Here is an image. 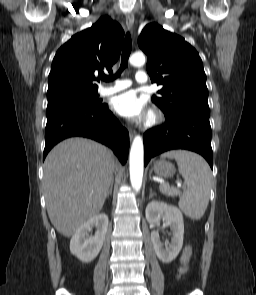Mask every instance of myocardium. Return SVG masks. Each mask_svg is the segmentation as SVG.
<instances>
[{"label":"myocardium","mask_w":256,"mask_h":295,"mask_svg":"<svg viewBox=\"0 0 256 295\" xmlns=\"http://www.w3.org/2000/svg\"><path fill=\"white\" fill-rule=\"evenodd\" d=\"M161 120V115L158 112H152L147 120V126L156 125Z\"/></svg>","instance_id":"myocardium-1"}]
</instances>
